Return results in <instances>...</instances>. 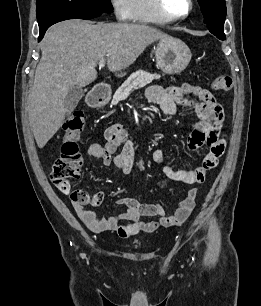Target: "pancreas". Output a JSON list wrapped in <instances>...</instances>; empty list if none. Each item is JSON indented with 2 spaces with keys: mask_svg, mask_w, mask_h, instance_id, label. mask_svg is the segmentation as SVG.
<instances>
[{
  "mask_svg": "<svg viewBox=\"0 0 261 306\" xmlns=\"http://www.w3.org/2000/svg\"><path fill=\"white\" fill-rule=\"evenodd\" d=\"M159 78V74H151L143 70H138L132 73L115 92L112 104L115 105L120 100L125 99L133 89L144 87L147 84H150L154 79Z\"/></svg>",
  "mask_w": 261,
  "mask_h": 306,
  "instance_id": "obj_1",
  "label": "pancreas"
}]
</instances>
